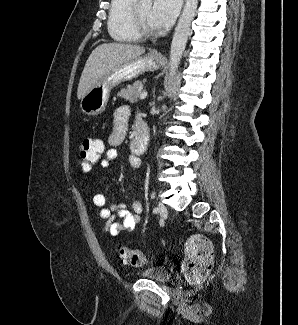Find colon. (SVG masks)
I'll use <instances>...</instances> for the list:
<instances>
[{"label":"colon","mask_w":298,"mask_h":325,"mask_svg":"<svg viewBox=\"0 0 298 325\" xmlns=\"http://www.w3.org/2000/svg\"><path fill=\"white\" fill-rule=\"evenodd\" d=\"M103 151V143L98 138L86 136L79 152V165L84 172L90 171L99 161ZM118 254L121 260L131 266H141L147 258L137 249L120 247ZM185 275L192 283L203 282L209 274L213 264L212 245L208 239L200 234L191 235L185 244Z\"/></svg>","instance_id":"5ec220e1"}]
</instances>
